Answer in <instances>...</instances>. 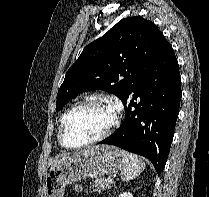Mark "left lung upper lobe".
I'll use <instances>...</instances> for the list:
<instances>
[{
	"instance_id": "left-lung-upper-lobe-1",
	"label": "left lung upper lobe",
	"mask_w": 209,
	"mask_h": 197,
	"mask_svg": "<svg viewBox=\"0 0 209 197\" xmlns=\"http://www.w3.org/2000/svg\"><path fill=\"white\" fill-rule=\"evenodd\" d=\"M165 42L151 21L139 16L122 19L87 45L69 68L57 94L56 110L77 93L95 89L111 92L123 102Z\"/></svg>"
}]
</instances>
